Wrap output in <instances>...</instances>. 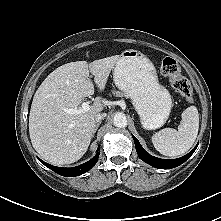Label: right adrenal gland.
Wrapping results in <instances>:
<instances>
[{
    "label": "right adrenal gland",
    "instance_id": "1",
    "mask_svg": "<svg viewBox=\"0 0 221 221\" xmlns=\"http://www.w3.org/2000/svg\"><path fill=\"white\" fill-rule=\"evenodd\" d=\"M100 124H101V122H99V123L96 124L95 129H94V131H93L92 138L94 137V135H95V133H96V131H97V129H98V127H99Z\"/></svg>",
    "mask_w": 221,
    "mask_h": 221
}]
</instances>
